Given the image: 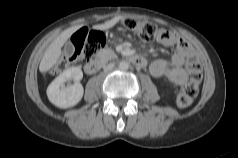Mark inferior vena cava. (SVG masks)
<instances>
[{"label":"inferior vena cava","instance_id":"602c4592","mask_svg":"<svg viewBox=\"0 0 238 158\" xmlns=\"http://www.w3.org/2000/svg\"><path fill=\"white\" fill-rule=\"evenodd\" d=\"M114 68V64L113 63H110L108 64L107 66L104 67V71H110Z\"/></svg>","mask_w":238,"mask_h":158}]
</instances>
